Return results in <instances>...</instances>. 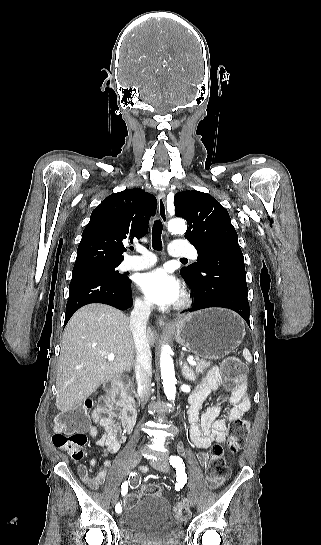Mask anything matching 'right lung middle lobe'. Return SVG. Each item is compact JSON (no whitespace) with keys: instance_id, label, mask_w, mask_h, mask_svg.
<instances>
[{"instance_id":"dd1d6c3e","label":"right lung middle lobe","mask_w":321,"mask_h":545,"mask_svg":"<svg viewBox=\"0 0 321 545\" xmlns=\"http://www.w3.org/2000/svg\"><path fill=\"white\" fill-rule=\"evenodd\" d=\"M118 265L119 264L91 266V267H87V268H83V269L73 270V273L81 272V271H89V272L100 273V274H103L105 276H108V277H111V278H114V279L123 280V279L126 278V274H120L116 270Z\"/></svg>"}]
</instances>
